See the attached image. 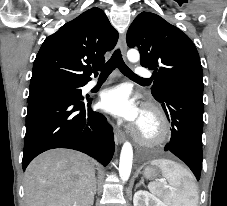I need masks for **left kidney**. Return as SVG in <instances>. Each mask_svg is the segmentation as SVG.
Masks as SVG:
<instances>
[{"label": "left kidney", "mask_w": 227, "mask_h": 206, "mask_svg": "<svg viewBox=\"0 0 227 206\" xmlns=\"http://www.w3.org/2000/svg\"><path fill=\"white\" fill-rule=\"evenodd\" d=\"M133 204L134 206H167L155 195L143 190H139L134 194Z\"/></svg>", "instance_id": "5707ae66"}]
</instances>
